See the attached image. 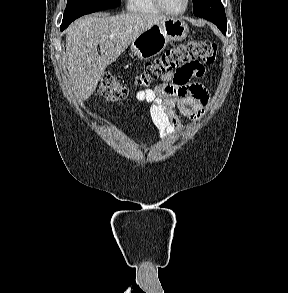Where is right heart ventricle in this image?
<instances>
[{"mask_svg":"<svg viewBox=\"0 0 288 293\" xmlns=\"http://www.w3.org/2000/svg\"><path fill=\"white\" fill-rule=\"evenodd\" d=\"M127 10L133 13L161 14L154 0H127Z\"/></svg>","mask_w":288,"mask_h":293,"instance_id":"right-heart-ventricle-1","label":"right heart ventricle"}]
</instances>
